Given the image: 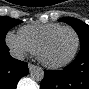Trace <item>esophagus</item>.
Instances as JSON below:
<instances>
[{
  "label": "esophagus",
  "mask_w": 89,
  "mask_h": 89,
  "mask_svg": "<svg viewBox=\"0 0 89 89\" xmlns=\"http://www.w3.org/2000/svg\"><path fill=\"white\" fill-rule=\"evenodd\" d=\"M28 68H29L30 71H32L33 69L36 68V66L33 65V64H31V63H29V64H28Z\"/></svg>",
  "instance_id": "1"
}]
</instances>
